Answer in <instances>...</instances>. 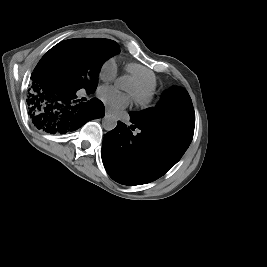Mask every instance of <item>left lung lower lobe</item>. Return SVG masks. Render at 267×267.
<instances>
[{
	"label": "left lung lower lobe",
	"mask_w": 267,
	"mask_h": 267,
	"mask_svg": "<svg viewBox=\"0 0 267 267\" xmlns=\"http://www.w3.org/2000/svg\"><path fill=\"white\" fill-rule=\"evenodd\" d=\"M131 129L122 122L106 133L102 160L116 182L131 185L150 182L164 175L182 157L190 142L156 128L135 123ZM134 128L141 131L135 135Z\"/></svg>",
	"instance_id": "0a47b994"
}]
</instances>
